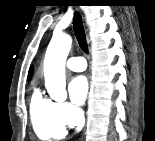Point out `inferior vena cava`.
Returning a JSON list of instances; mask_svg holds the SVG:
<instances>
[{
	"mask_svg": "<svg viewBox=\"0 0 155 141\" xmlns=\"http://www.w3.org/2000/svg\"><path fill=\"white\" fill-rule=\"evenodd\" d=\"M84 121H85L84 114L81 113L79 122H78V129H80L84 125Z\"/></svg>",
	"mask_w": 155,
	"mask_h": 141,
	"instance_id": "602c4592",
	"label": "inferior vena cava"
}]
</instances>
